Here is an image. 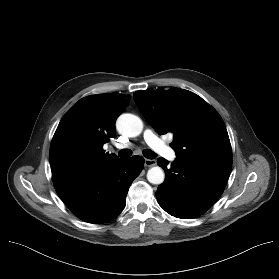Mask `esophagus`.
<instances>
[{"label": "esophagus", "mask_w": 279, "mask_h": 279, "mask_svg": "<svg viewBox=\"0 0 279 279\" xmlns=\"http://www.w3.org/2000/svg\"><path fill=\"white\" fill-rule=\"evenodd\" d=\"M156 160L155 159H145V163L144 165L146 167H152V166H155L156 165Z\"/></svg>", "instance_id": "obj_1"}]
</instances>
